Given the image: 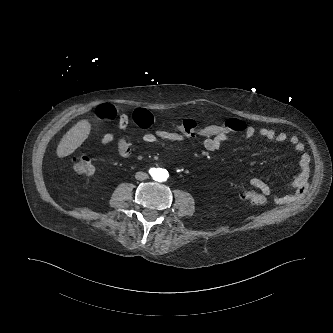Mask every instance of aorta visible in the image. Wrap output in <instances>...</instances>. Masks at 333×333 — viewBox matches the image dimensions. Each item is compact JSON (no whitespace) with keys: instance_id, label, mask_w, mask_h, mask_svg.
<instances>
[{"instance_id":"aorta-1","label":"aorta","mask_w":333,"mask_h":333,"mask_svg":"<svg viewBox=\"0 0 333 333\" xmlns=\"http://www.w3.org/2000/svg\"><path fill=\"white\" fill-rule=\"evenodd\" d=\"M156 176L159 181H164L167 178L166 174L163 171H159Z\"/></svg>"}]
</instances>
